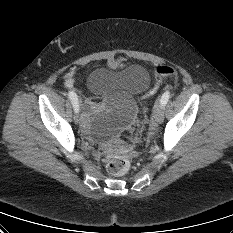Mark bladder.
Returning <instances> with one entry per match:
<instances>
[{
	"label": "bladder",
	"mask_w": 233,
	"mask_h": 233,
	"mask_svg": "<svg viewBox=\"0 0 233 233\" xmlns=\"http://www.w3.org/2000/svg\"><path fill=\"white\" fill-rule=\"evenodd\" d=\"M149 72L141 65L133 64L122 70L98 68L87 77L88 88L98 94L120 93L118 102H107L101 111L85 117V130L95 140L108 139L126 129L133 121L137 107L132 96L145 93L150 87Z\"/></svg>",
	"instance_id": "1"
}]
</instances>
